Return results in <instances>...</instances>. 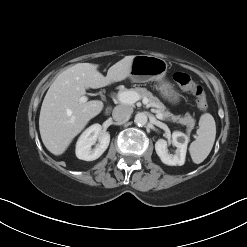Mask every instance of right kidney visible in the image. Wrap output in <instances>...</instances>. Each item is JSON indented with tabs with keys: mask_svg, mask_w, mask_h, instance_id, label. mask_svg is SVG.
<instances>
[{
	"mask_svg": "<svg viewBox=\"0 0 247 247\" xmlns=\"http://www.w3.org/2000/svg\"><path fill=\"white\" fill-rule=\"evenodd\" d=\"M99 141L94 148L96 141ZM110 134L102 131L100 124H93L88 127L79 137L76 144V156L78 159L93 161L98 159L108 148Z\"/></svg>",
	"mask_w": 247,
	"mask_h": 247,
	"instance_id": "obj_1",
	"label": "right kidney"
}]
</instances>
